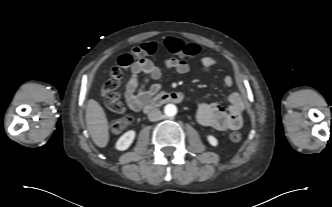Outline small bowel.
Returning a JSON list of instances; mask_svg holds the SVG:
<instances>
[{
	"mask_svg": "<svg viewBox=\"0 0 332 207\" xmlns=\"http://www.w3.org/2000/svg\"><path fill=\"white\" fill-rule=\"evenodd\" d=\"M197 63L203 72H208L221 65L217 59L211 56H203L197 60ZM163 66L179 74H187L190 71V66L185 61L177 58H165ZM140 74L146 75L143 81L140 80ZM161 75L162 69L149 59H139L132 64L125 90V99L130 110L139 111L160 91L161 86L154 83V81L158 80ZM223 82L230 87L234 84V79L228 75L223 79ZM229 101L230 106L226 110L215 103L200 100L196 106L198 122L203 126L220 131L241 128L244 122L243 113L245 110L242 96L240 93L234 92L230 94Z\"/></svg>",
	"mask_w": 332,
	"mask_h": 207,
	"instance_id": "obj_1",
	"label": "small bowel"
}]
</instances>
